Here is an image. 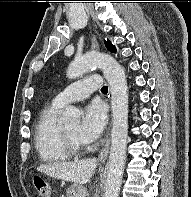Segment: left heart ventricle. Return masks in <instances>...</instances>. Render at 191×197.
<instances>
[{
	"instance_id": "b2bd125f",
	"label": "left heart ventricle",
	"mask_w": 191,
	"mask_h": 197,
	"mask_svg": "<svg viewBox=\"0 0 191 197\" xmlns=\"http://www.w3.org/2000/svg\"><path fill=\"white\" fill-rule=\"evenodd\" d=\"M66 130V132L72 136L73 138H75L76 140L77 139V133H78V130H79V126L78 125H73V126H68V127H65L64 128Z\"/></svg>"
}]
</instances>
